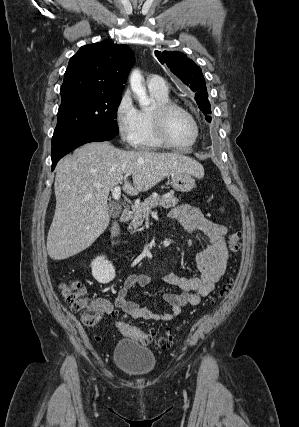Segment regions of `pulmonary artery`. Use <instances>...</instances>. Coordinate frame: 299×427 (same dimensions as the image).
Segmentation results:
<instances>
[{
	"mask_svg": "<svg viewBox=\"0 0 299 427\" xmlns=\"http://www.w3.org/2000/svg\"><path fill=\"white\" fill-rule=\"evenodd\" d=\"M149 90L158 93H168V86L166 81L159 75H153L147 80Z\"/></svg>",
	"mask_w": 299,
	"mask_h": 427,
	"instance_id": "e3ab8cb5",
	"label": "pulmonary artery"
}]
</instances>
